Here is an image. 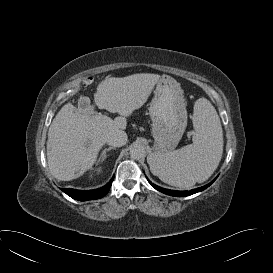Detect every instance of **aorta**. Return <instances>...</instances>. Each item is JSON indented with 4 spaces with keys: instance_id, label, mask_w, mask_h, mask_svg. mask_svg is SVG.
Listing matches in <instances>:
<instances>
[{
    "instance_id": "obj_1",
    "label": "aorta",
    "mask_w": 273,
    "mask_h": 273,
    "mask_svg": "<svg viewBox=\"0 0 273 273\" xmlns=\"http://www.w3.org/2000/svg\"><path fill=\"white\" fill-rule=\"evenodd\" d=\"M129 153L134 160H140L146 155L145 147L139 143L132 144Z\"/></svg>"
}]
</instances>
